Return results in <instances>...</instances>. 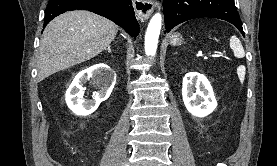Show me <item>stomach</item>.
<instances>
[{
    "label": "stomach",
    "mask_w": 277,
    "mask_h": 166,
    "mask_svg": "<svg viewBox=\"0 0 277 166\" xmlns=\"http://www.w3.org/2000/svg\"><path fill=\"white\" fill-rule=\"evenodd\" d=\"M183 42V37L179 33H175L170 37L171 45H180Z\"/></svg>",
    "instance_id": "stomach-1"
}]
</instances>
